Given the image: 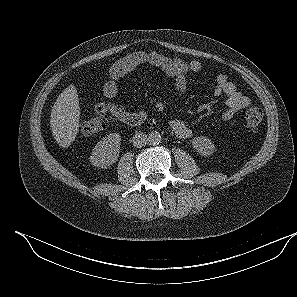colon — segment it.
Segmentation results:
<instances>
[{
  "label": "colon",
  "mask_w": 297,
  "mask_h": 297,
  "mask_svg": "<svg viewBox=\"0 0 297 297\" xmlns=\"http://www.w3.org/2000/svg\"><path fill=\"white\" fill-rule=\"evenodd\" d=\"M263 120V112L259 107L251 106L246 109L243 117V125L245 129L249 131H254ZM108 117L104 114H99V116L83 121L80 125V130L85 135L97 134L105 130L108 124Z\"/></svg>",
  "instance_id": "colon-1"
}]
</instances>
